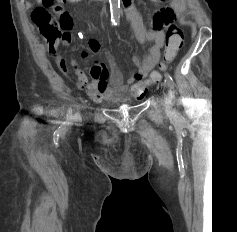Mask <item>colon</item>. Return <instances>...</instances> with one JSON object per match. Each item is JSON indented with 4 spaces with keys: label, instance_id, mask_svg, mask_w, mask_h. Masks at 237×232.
<instances>
[{
    "label": "colon",
    "instance_id": "colon-1",
    "mask_svg": "<svg viewBox=\"0 0 237 232\" xmlns=\"http://www.w3.org/2000/svg\"><path fill=\"white\" fill-rule=\"evenodd\" d=\"M66 0H41L42 6L33 10L31 18L38 32L48 44L49 52L54 54L60 43L70 41V30L73 27L71 16L58 4ZM53 7L57 16L53 15L47 8ZM183 45V33L177 25L168 28L165 38L164 61L165 64L172 62ZM161 78L159 72H152L148 84L157 83Z\"/></svg>",
    "mask_w": 237,
    "mask_h": 232
}]
</instances>
